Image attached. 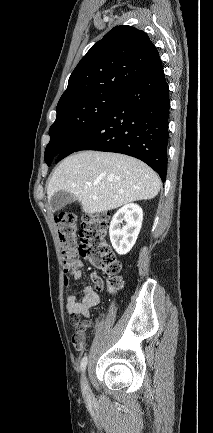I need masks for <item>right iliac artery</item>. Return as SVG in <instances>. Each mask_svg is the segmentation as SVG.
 I'll use <instances>...</instances> for the list:
<instances>
[{"mask_svg": "<svg viewBox=\"0 0 213 433\" xmlns=\"http://www.w3.org/2000/svg\"><path fill=\"white\" fill-rule=\"evenodd\" d=\"M87 362H88V358H87V356H84V357L82 358V360H81V369H82V371L85 370V368H86V366H87Z\"/></svg>", "mask_w": 213, "mask_h": 433, "instance_id": "1", "label": "right iliac artery"}]
</instances>
